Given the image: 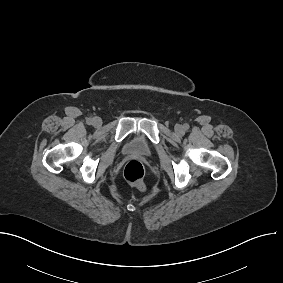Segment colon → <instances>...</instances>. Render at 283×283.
Returning <instances> with one entry per match:
<instances>
[{"instance_id":"5ec220e1","label":"colon","mask_w":283,"mask_h":283,"mask_svg":"<svg viewBox=\"0 0 283 283\" xmlns=\"http://www.w3.org/2000/svg\"><path fill=\"white\" fill-rule=\"evenodd\" d=\"M125 179L139 189H144L145 169L140 161H129L123 171Z\"/></svg>"}]
</instances>
